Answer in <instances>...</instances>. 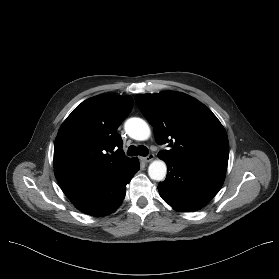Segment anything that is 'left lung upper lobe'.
Returning <instances> with one entry per match:
<instances>
[{"label":"left lung upper lobe","mask_w":279,"mask_h":279,"mask_svg":"<svg viewBox=\"0 0 279 279\" xmlns=\"http://www.w3.org/2000/svg\"><path fill=\"white\" fill-rule=\"evenodd\" d=\"M136 103L153 126L155 140L171 149L160 151L161 159L226 171L229 142L225 129L212 111L181 92L138 94Z\"/></svg>","instance_id":"5c2ea615"}]
</instances>
